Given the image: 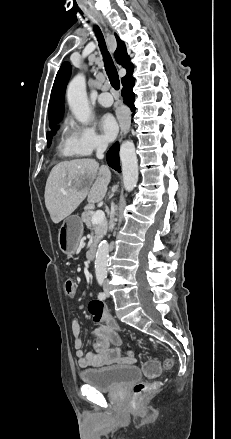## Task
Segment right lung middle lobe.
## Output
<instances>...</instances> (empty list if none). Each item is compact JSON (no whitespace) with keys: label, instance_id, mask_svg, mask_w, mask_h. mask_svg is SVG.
<instances>
[{"label":"right lung middle lobe","instance_id":"obj_1","mask_svg":"<svg viewBox=\"0 0 231 439\" xmlns=\"http://www.w3.org/2000/svg\"><path fill=\"white\" fill-rule=\"evenodd\" d=\"M50 128H52V131H51V132H48L47 135H46V138H47V146H48V147H49L50 144H51V138H52V135H54V134L56 133V131H57V129H58V126H54V127H50Z\"/></svg>","mask_w":231,"mask_h":439}]
</instances>
